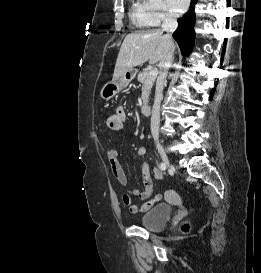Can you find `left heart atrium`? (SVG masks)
I'll list each match as a JSON object with an SVG mask.
<instances>
[{
    "mask_svg": "<svg viewBox=\"0 0 261 273\" xmlns=\"http://www.w3.org/2000/svg\"><path fill=\"white\" fill-rule=\"evenodd\" d=\"M168 2L174 10L181 12L187 8L189 0H168Z\"/></svg>",
    "mask_w": 261,
    "mask_h": 273,
    "instance_id": "obj_1",
    "label": "left heart atrium"
}]
</instances>
